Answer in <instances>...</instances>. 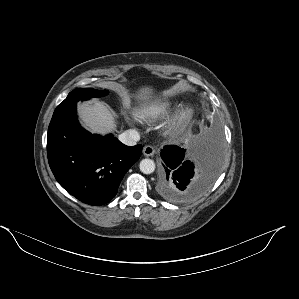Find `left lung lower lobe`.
Here are the masks:
<instances>
[{
  "label": "left lung lower lobe",
  "mask_w": 299,
  "mask_h": 299,
  "mask_svg": "<svg viewBox=\"0 0 299 299\" xmlns=\"http://www.w3.org/2000/svg\"><path fill=\"white\" fill-rule=\"evenodd\" d=\"M162 170L158 193L170 202H186L199 197L217 178L222 163L218 138H203L187 148L176 145L161 150Z\"/></svg>",
  "instance_id": "left-lung-lower-lobe-1"
}]
</instances>
